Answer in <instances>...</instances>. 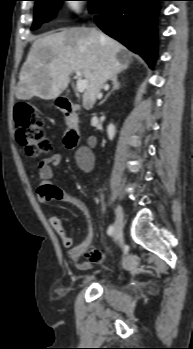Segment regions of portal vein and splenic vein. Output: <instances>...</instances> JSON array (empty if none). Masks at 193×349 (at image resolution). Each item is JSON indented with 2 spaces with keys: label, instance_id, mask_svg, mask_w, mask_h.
Segmentation results:
<instances>
[{
  "label": "portal vein and splenic vein",
  "instance_id": "1",
  "mask_svg": "<svg viewBox=\"0 0 193 349\" xmlns=\"http://www.w3.org/2000/svg\"><path fill=\"white\" fill-rule=\"evenodd\" d=\"M77 83L76 88L78 92H84L88 86V80L82 78V73L76 71Z\"/></svg>",
  "mask_w": 193,
  "mask_h": 349
}]
</instances>
